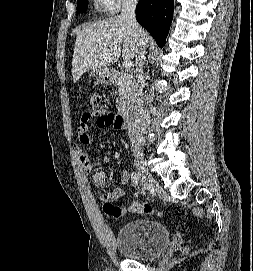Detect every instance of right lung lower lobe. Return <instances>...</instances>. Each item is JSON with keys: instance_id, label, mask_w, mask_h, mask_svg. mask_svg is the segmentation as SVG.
<instances>
[{"instance_id": "obj_1", "label": "right lung lower lobe", "mask_w": 253, "mask_h": 271, "mask_svg": "<svg viewBox=\"0 0 253 271\" xmlns=\"http://www.w3.org/2000/svg\"><path fill=\"white\" fill-rule=\"evenodd\" d=\"M174 0H139L136 19L156 40L159 47L165 45L173 18Z\"/></svg>"}]
</instances>
